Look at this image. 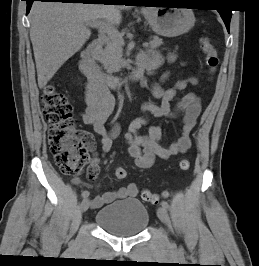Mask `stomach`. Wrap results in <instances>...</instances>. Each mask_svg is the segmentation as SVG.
Here are the masks:
<instances>
[{
	"label": "stomach",
	"instance_id": "1",
	"mask_svg": "<svg viewBox=\"0 0 259 266\" xmlns=\"http://www.w3.org/2000/svg\"><path fill=\"white\" fill-rule=\"evenodd\" d=\"M152 30L160 36L175 37L187 33L195 24L191 9L153 7L144 11Z\"/></svg>",
	"mask_w": 259,
	"mask_h": 266
}]
</instances>
